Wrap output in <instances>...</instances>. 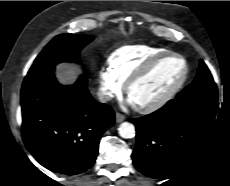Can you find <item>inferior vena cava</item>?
<instances>
[{"instance_id": "1", "label": "inferior vena cava", "mask_w": 230, "mask_h": 186, "mask_svg": "<svg viewBox=\"0 0 230 186\" xmlns=\"http://www.w3.org/2000/svg\"><path fill=\"white\" fill-rule=\"evenodd\" d=\"M97 95L99 100L103 103L109 101L113 97V94L107 90H99Z\"/></svg>"}]
</instances>
